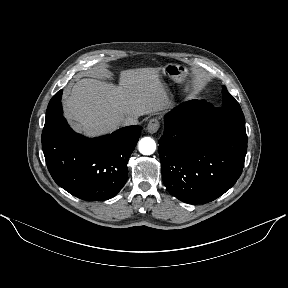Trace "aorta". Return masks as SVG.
<instances>
[{"instance_id":"1","label":"aorta","mask_w":288,"mask_h":288,"mask_svg":"<svg viewBox=\"0 0 288 288\" xmlns=\"http://www.w3.org/2000/svg\"><path fill=\"white\" fill-rule=\"evenodd\" d=\"M138 149L143 155H151L156 150V143L152 138L144 137L139 141Z\"/></svg>"}]
</instances>
